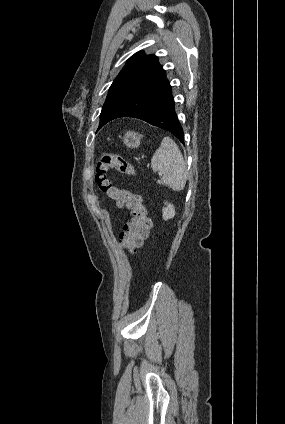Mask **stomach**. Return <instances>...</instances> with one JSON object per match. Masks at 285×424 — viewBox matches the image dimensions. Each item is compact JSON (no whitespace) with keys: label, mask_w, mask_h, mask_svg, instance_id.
Masks as SVG:
<instances>
[{"label":"stomach","mask_w":285,"mask_h":424,"mask_svg":"<svg viewBox=\"0 0 285 424\" xmlns=\"http://www.w3.org/2000/svg\"><path fill=\"white\" fill-rule=\"evenodd\" d=\"M142 138L143 135L134 131H128L123 137V143L129 148H137Z\"/></svg>","instance_id":"0dacf381"}]
</instances>
